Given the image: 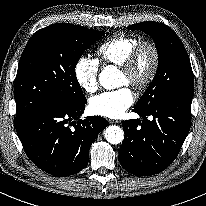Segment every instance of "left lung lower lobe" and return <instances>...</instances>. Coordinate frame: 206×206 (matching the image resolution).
<instances>
[{
  "instance_id": "0a47b994",
  "label": "left lung lower lobe",
  "mask_w": 206,
  "mask_h": 206,
  "mask_svg": "<svg viewBox=\"0 0 206 206\" xmlns=\"http://www.w3.org/2000/svg\"><path fill=\"white\" fill-rule=\"evenodd\" d=\"M191 103L192 99H171L146 109L134 108L133 112L143 119L122 123L125 136L119 151L121 166L138 176L165 170L177 157L189 132Z\"/></svg>"
}]
</instances>
